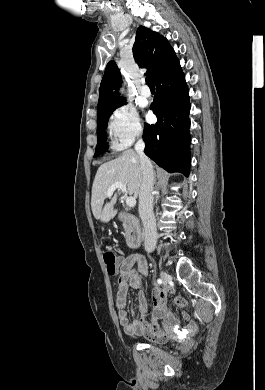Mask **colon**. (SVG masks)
Returning <instances> with one entry per match:
<instances>
[{
	"instance_id": "5ec220e1",
	"label": "colon",
	"mask_w": 265,
	"mask_h": 390,
	"mask_svg": "<svg viewBox=\"0 0 265 390\" xmlns=\"http://www.w3.org/2000/svg\"><path fill=\"white\" fill-rule=\"evenodd\" d=\"M103 260L107 268V272L109 275H115L118 273L119 270V260L116 257V255L112 251H105L103 253ZM174 302L177 306L181 308H187L188 303L187 301L180 296H176L174 298Z\"/></svg>"
}]
</instances>
